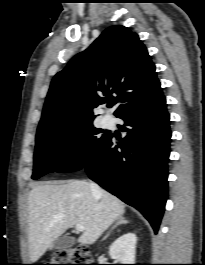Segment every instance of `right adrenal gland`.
Instances as JSON below:
<instances>
[{
    "label": "right adrenal gland",
    "instance_id": "1",
    "mask_svg": "<svg viewBox=\"0 0 205 265\" xmlns=\"http://www.w3.org/2000/svg\"><path fill=\"white\" fill-rule=\"evenodd\" d=\"M128 223H129V222H128L127 220H125V218L120 217V218L117 220V222L115 223V225L112 226V228L109 230V232L103 237L102 240H105V239L110 235V233H111L115 228H117L119 225H121V224H128Z\"/></svg>",
    "mask_w": 205,
    "mask_h": 265
}]
</instances>
